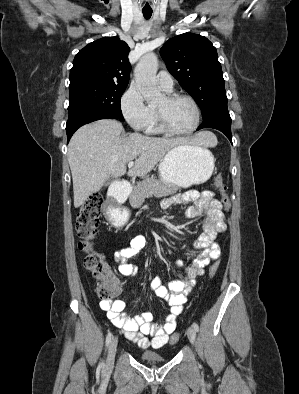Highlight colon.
I'll use <instances>...</instances> for the list:
<instances>
[{
  "mask_svg": "<svg viewBox=\"0 0 299 394\" xmlns=\"http://www.w3.org/2000/svg\"><path fill=\"white\" fill-rule=\"evenodd\" d=\"M214 186L221 194V201L225 211L230 208V201L227 194V185L222 176L214 178ZM103 197L100 193L92 194L82 205L77 215L76 229L80 237L79 247L84 252V266L97 281L96 292L100 299L104 301L113 300L122 288V282L113 273L111 266L106 261L105 256L94 249L93 240L97 234L100 221ZM219 263L215 261L209 270V275L213 278L218 270ZM179 334L171 336V342L176 343Z\"/></svg>",
  "mask_w": 299,
  "mask_h": 394,
  "instance_id": "5ec220e1",
  "label": "colon"
}]
</instances>
